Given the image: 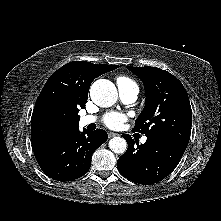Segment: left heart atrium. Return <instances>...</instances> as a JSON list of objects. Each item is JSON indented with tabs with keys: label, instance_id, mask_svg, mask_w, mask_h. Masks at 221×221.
I'll return each mask as SVG.
<instances>
[{
	"label": "left heart atrium",
	"instance_id": "39dd6f15",
	"mask_svg": "<svg viewBox=\"0 0 221 221\" xmlns=\"http://www.w3.org/2000/svg\"><path fill=\"white\" fill-rule=\"evenodd\" d=\"M127 117L118 112H111L104 117V124L111 129H119L126 121Z\"/></svg>",
	"mask_w": 221,
	"mask_h": 221
}]
</instances>
